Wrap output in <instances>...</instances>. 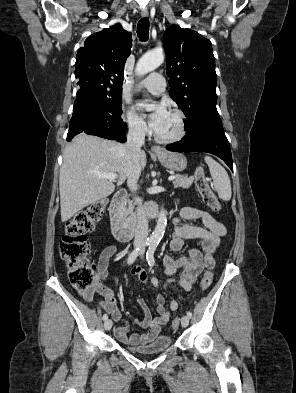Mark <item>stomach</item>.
<instances>
[{"mask_svg": "<svg viewBox=\"0 0 296 393\" xmlns=\"http://www.w3.org/2000/svg\"><path fill=\"white\" fill-rule=\"evenodd\" d=\"M160 163L171 171H183L187 166V159L181 153L162 151L156 155Z\"/></svg>", "mask_w": 296, "mask_h": 393, "instance_id": "obj_1", "label": "stomach"}]
</instances>
